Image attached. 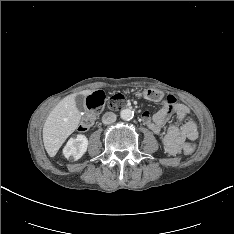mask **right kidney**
Returning a JSON list of instances; mask_svg holds the SVG:
<instances>
[{
  "label": "right kidney",
  "mask_w": 234,
  "mask_h": 234,
  "mask_svg": "<svg viewBox=\"0 0 234 234\" xmlns=\"http://www.w3.org/2000/svg\"><path fill=\"white\" fill-rule=\"evenodd\" d=\"M88 147V139L85 135L78 134L76 138H70L63 149L66 158L72 157L74 160L80 159Z\"/></svg>",
  "instance_id": "right-kidney-1"
}]
</instances>
